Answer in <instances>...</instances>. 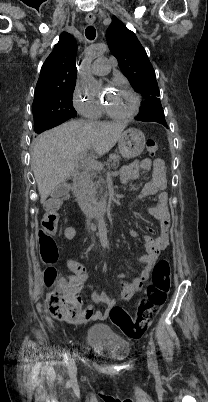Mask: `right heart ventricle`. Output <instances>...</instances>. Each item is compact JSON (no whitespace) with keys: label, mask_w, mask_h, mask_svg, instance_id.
Returning <instances> with one entry per match:
<instances>
[{"label":"right heart ventricle","mask_w":208,"mask_h":402,"mask_svg":"<svg viewBox=\"0 0 208 402\" xmlns=\"http://www.w3.org/2000/svg\"><path fill=\"white\" fill-rule=\"evenodd\" d=\"M104 115L106 116L105 119H104V117H103ZM98 119H100L101 122H102V121H106V120H108V119H115V118L112 117L111 115H109L108 113L104 112V110L102 109L101 114H100V116H99Z\"/></svg>","instance_id":"1"}]
</instances>
